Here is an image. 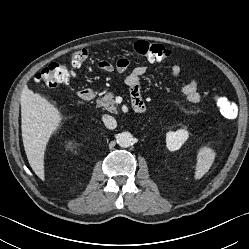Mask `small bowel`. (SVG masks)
Here are the masks:
<instances>
[{"label":"small bowel","instance_id":"1","mask_svg":"<svg viewBox=\"0 0 249 249\" xmlns=\"http://www.w3.org/2000/svg\"><path fill=\"white\" fill-rule=\"evenodd\" d=\"M128 67L129 61L126 58H121L116 63V69L120 73L125 72ZM98 69L102 72H110L113 70V66L108 61H100L98 63ZM145 72L146 68L144 66H137L126 77V83L130 87L133 100L140 98V81ZM171 74L174 77H178L181 74V66L178 63H174L171 66ZM181 92L190 103H197L202 97L198 82L194 79L184 85L181 88Z\"/></svg>","mask_w":249,"mask_h":249}]
</instances>
